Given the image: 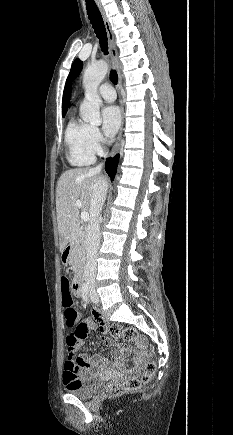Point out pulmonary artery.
Returning a JSON list of instances; mask_svg holds the SVG:
<instances>
[{
	"label": "pulmonary artery",
	"mask_w": 233,
	"mask_h": 435,
	"mask_svg": "<svg viewBox=\"0 0 233 435\" xmlns=\"http://www.w3.org/2000/svg\"><path fill=\"white\" fill-rule=\"evenodd\" d=\"M99 95L108 102H113L116 98L114 89L109 84H103L98 89Z\"/></svg>",
	"instance_id": "pulmonary-artery-1"
}]
</instances>
